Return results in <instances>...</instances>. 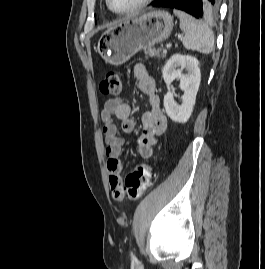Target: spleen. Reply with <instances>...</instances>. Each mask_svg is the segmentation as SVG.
<instances>
[{
  "label": "spleen",
  "mask_w": 265,
  "mask_h": 269,
  "mask_svg": "<svg viewBox=\"0 0 265 269\" xmlns=\"http://www.w3.org/2000/svg\"><path fill=\"white\" fill-rule=\"evenodd\" d=\"M173 13L180 20V28L184 31L183 46L186 49L209 54L214 47V35L208 25L194 19L191 15L177 9Z\"/></svg>",
  "instance_id": "spleen-1"
}]
</instances>
